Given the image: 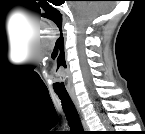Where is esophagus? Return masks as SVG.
Listing matches in <instances>:
<instances>
[{"mask_svg": "<svg viewBox=\"0 0 145 134\" xmlns=\"http://www.w3.org/2000/svg\"><path fill=\"white\" fill-rule=\"evenodd\" d=\"M71 98H72V101H73V103H74V105H75V108H76V110H77V112H78V115H79L81 124H82V126H83V129H84L85 131H88L89 127H88V124H87V122H86V120H85V118H84V115H83V113H82V110H81V108H80V105H79V102H78L77 98H76L75 96H72Z\"/></svg>", "mask_w": 145, "mask_h": 134, "instance_id": "obj_1", "label": "esophagus"}]
</instances>
